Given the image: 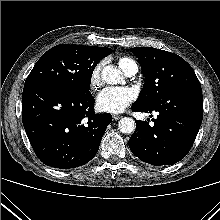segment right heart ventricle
<instances>
[{
    "mask_svg": "<svg viewBox=\"0 0 220 220\" xmlns=\"http://www.w3.org/2000/svg\"><path fill=\"white\" fill-rule=\"evenodd\" d=\"M135 62L129 58V57H121L118 60V64L120 68L124 71L127 72V70L134 64Z\"/></svg>",
    "mask_w": 220,
    "mask_h": 220,
    "instance_id": "1",
    "label": "right heart ventricle"
}]
</instances>
